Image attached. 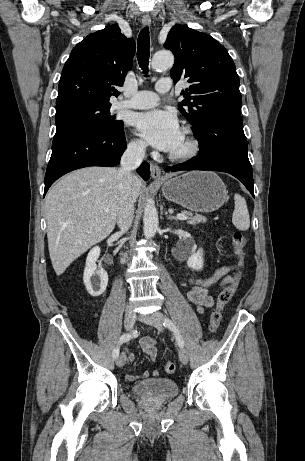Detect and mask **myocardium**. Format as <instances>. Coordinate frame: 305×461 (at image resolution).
Masks as SVG:
<instances>
[{
	"instance_id": "f54148a6",
	"label": "myocardium",
	"mask_w": 305,
	"mask_h": 461,
	"mask_svg": "<svg viewBox=\"0 0 305 461\" xmlns=\"http://www.w3.org/2000/svg\"><path fill=\"white\" fill-rule=\"evenodd\" d=\"M183 135L186 139V149L181 152H171L169 158L174 161H185L196 156L200 150V143L197 138L193 135L190 128L185 127L183 129Z\"/></svg>"
}]
</instances>
